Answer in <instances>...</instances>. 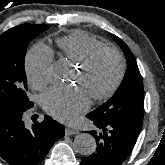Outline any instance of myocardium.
<instances>
[{
	"mask_svg": "<svg viewBox=\"0 0 165 165\" xmlns=\"http://www.w3.org/2000/svg\"><path fill=\"white\" fill-rule=\"evenodd\" d=\"M105 53H110L114 55L117 58L119 69H118V74L112 83V85L103 93L100 94H93L91 95V98L95 101H103L115 94V92L118 90L120 87L124 76L126 72V62L123 54L112 47H99L95 50H93L91 53H89L79 64H78V69L82 72H86L93 64L94 62L102 55Z\"/></svg>",
	"mask_w": 165,
	"mask_h": 165,
	"instance_id": "1",
	"label": "myocardium"
}]
</instances>
